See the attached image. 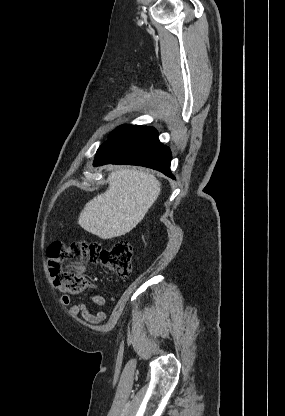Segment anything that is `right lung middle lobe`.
<instances>
[{
	"instance_id": "obj_1",
	"label": "right lung middle lobe",
	"mask_w": 285,
	"mask_h": 416,
	"mask_svg": "<svg viewBox=\"0 0 285 416\" xmlns=\"http://www.w3.org/2000/svg\"><path fill=\"white\" fill-rule=\"evenodd\" d=\"M130 126H131V125H122V126L118 127L115 131H113V132L109 135V137H112L113 135L117 134L118 132H120V131H122V130H124V129H126V128L130 127Z\"/></svg>"
}]
</instances>
